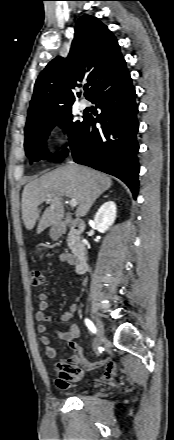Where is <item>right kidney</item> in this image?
<instances>
[{
  "label": "right kidney",
  "mask_w": 174,
  "mask_h": 440,
  "mask_svg": "<svg viewBox=\"0 0 174 440\" xmlns=\"http://www.w3.org/2000/svg\"><path fill=\"white\" fill-rule=\"evenodd\" d=\"M116 219V204L113 201L105 202L97 211L94 223L99 232L105 233Z\"/></svg>",
  "instance_id": "ca27d5eb"
}]
</instances>
